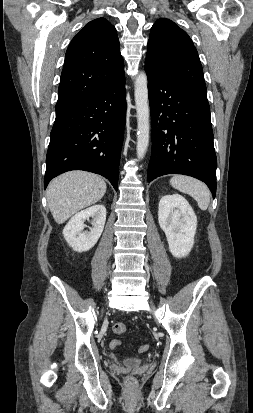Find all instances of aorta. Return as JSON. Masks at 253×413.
<instances>
[{"instance_id":"1","label":"aorta","mask_w":253,"mask_h":413,"mask_svg":"<svg viewBox=\"0 0 253 413\" xmlns=\"http://www.w3.org/2000/svg\"><path fill=\"white\" fill-rule=\"evenodd\" d=\"M147 76L141 72L135 80V105L137 113V157L143 159L149 146V103Z\"/></svg>"}]
</instances>
